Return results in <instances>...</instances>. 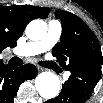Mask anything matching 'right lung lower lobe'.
Returning <instances> with one entry per match:
<instances>
[{
  "mask_svg": "<svg viewBox=\"0 0 103 103\" xmlns=\"http://www.w3.org/2000/svg\"><path fill=\"white\" fill-rule=\"evenodd\" d=\"M37 76V69L32 64L20 67L0 66V103H12L19 86L27 79Z\"/></svg>",
  "mask_w": 103,
  "mask_h": 103,
  "instance_id": "right-lung-lower-lobe-1",
  "label": "right lung lower lobe"
}]
</instances>
